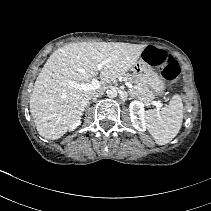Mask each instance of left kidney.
I'll return each instance as SVG.
<instances>
[{"mask_svg":"<svg viewBox=\"0 0 211 211\" xmlns=\"http://www.w3.org/2000/svg\"><path fill=\"white\" fill-rule=\"evenodd\" d=\"M130 118L132 125L138 131L146 130L145 115L146 111L144 109V104L140 101H132L129 105Z\"/></svg>","mask_w":211,"mask_h":211,"instance_id":"5707ae66","label":"left kidney"}]
</instances>
